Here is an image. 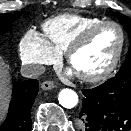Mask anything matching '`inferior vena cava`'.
I'll list each match as a JSON object with an SVG mask.
<instances>
[{
	"instance_id": "1",
	"label": "inferior vena cava",
	"mask_w": 131,
	"mask_h": 131,
	"mask_svg": "<svg viewBox=\"0 0 131 131\" xmlns=\"http://www.w3.org/2000/svg\"><path fill=\"white\" fill-rule=\"evenodd\" d=\"M45 72V67L41 65H25L21 67V74L26 78H36Z\"/></svg>"
}]
</instances>
